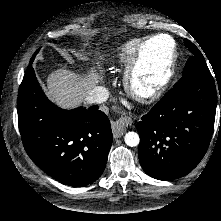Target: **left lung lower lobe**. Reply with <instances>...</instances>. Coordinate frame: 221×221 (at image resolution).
<instances>
[{
    "mask_svg": "<svg viewBox=\"0 0 221 221\" xmlns=\"http://www.w3.org/2000/svg\"><path fill=\"white\" fill-rule=\"evenodd\" d=\"M218 99L213 78L191 76L180 79L142 117L139 161L149 176L169 181L198 165L213 134Z\"/></svg>",
    "mask_w": 221,
    "mask_h": 221,
    "instance_id": "1",
    "label": "left lung lower lobe"
}]
</instances>
